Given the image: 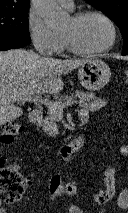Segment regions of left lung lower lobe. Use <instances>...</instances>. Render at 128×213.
I'll return each mask as SVG.
<instances>
[{
    "instance_id": "1",
    "label": "left lung lower lobe",
    "mask_w": 128,
    "mask_h": 213,
    "mask_svg": "<svg viewBox=\"0 0 128 213\" xmlns=\"http://www.w3.org/2000/svg\"><path fill=\"white\" fill-rule=\"evenodd\" d=\"M122 55H126V53L123 52Z\"/></svg>"
}]
</instances>
